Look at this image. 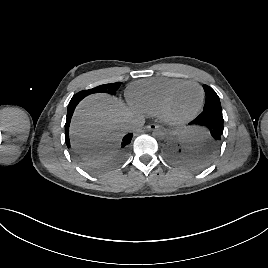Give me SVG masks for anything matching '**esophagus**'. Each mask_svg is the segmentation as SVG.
I'll return each mask as SVG.
<instances>
[{
  "instance_id": "obj_1",
  "label": "esophagus",
  "mask_w": 268,
  "mask_h": 268,
  "mask_svg": "<svg viewBox=\"0 0 268 268\" xmlns=\"http://www.w3.org/2000/svg\"><path fill=\"white\" fill-rule=\"evenodd\" d=\"M158 128H160V126L157 125V124H154V123L149 124V125L146 126V129L149 130V131H153V130L158 129Z\"/></svg>"
}]
</instances>
